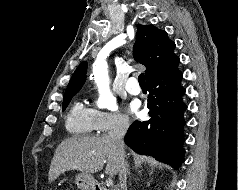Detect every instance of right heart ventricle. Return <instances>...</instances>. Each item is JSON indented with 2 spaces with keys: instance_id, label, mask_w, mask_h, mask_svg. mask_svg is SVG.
Listing matches in <instances>:
<instances>
[{
  "instance_id": "obj_1",
  "label": "right heart ventricle",
  "mask_w": 238,
  "mask_h": 190,
  "mask_svg": "<svg viewBox=\"0 0 238 190\" xmlns=\"http://www.w3.org/2000/svg\"><path fill=\"white\" fill-rule=\"evenodd\" d=\"M66 129L75 135L90 134L95 130L94 112L81 101L75 102L66 121Z\"/></svg>"
}]
</instances>
